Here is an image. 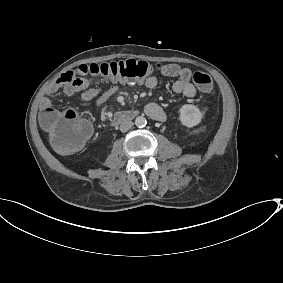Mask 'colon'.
<instances>
[{"label":"colon","mask_w":283,"mask_h":283,"mask_svg":"<svg viewBox=\"0 0 283 283\" xmlns=\"http://www.w3.org/2000/svg\"><path fill=\"white\" fill-rule=\"evenodd\" d=\"M157 68L158 66L146 61L131 59L90 66L81 65L73 71L66 72L63 79L70 81L74 78L91 75L110 81L136 83L151 76ZM193 81L201 91L209 92L212 90L213 81L207 73H194ZM40 122L49 135L54 148L64 154L80 150L92 132L90 122L72 109L63 112L47 109L42 112Z\"/></svg>","instance_id":"5ec220e1"}]
</instances>
